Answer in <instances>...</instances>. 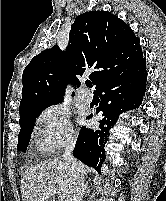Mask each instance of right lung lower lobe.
Masks as SVG:
<instances>
[{
  "label": "right lung lower lobe",
  "mask_w": 166,
  "mask_h": 201,
  "mask_svg": "<svg viewBox=\"0 0 166 201\" xmlns=\"http://www.w3.org/2000/svg\"><path fill=\"white\" fill-rule=\"evenodd\" d=\"M146 59L108 75L97 87L101 102L97 109L102 111L99 129L81 128L73 155L88 166L100 172L105 159L104 143L118 118L128 109L137 108L146 91ZM91 114L88 118H91Z\"/></svg>",
  "instance_id": "right-lung-lower-lobe-1"
}]
</instances>
